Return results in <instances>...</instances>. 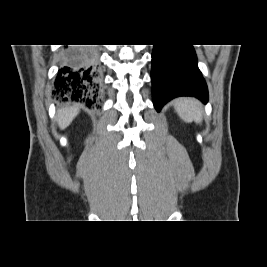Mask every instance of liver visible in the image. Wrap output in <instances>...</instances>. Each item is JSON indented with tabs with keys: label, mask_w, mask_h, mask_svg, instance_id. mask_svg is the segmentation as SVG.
<instances>
[{
	"label": "liver",
	"mask_w": 267,
	"mask_h": 267,
	"mask_svg": "<svg viewBox=\"0 0 267 267\" xmlns=\"http://www.w3.org/2000/svg\"><path fill=\"white\" fill-rule=\"evenodd\" d=\"M79 109L77 107H69L58 110V125L60 129L68 127L73 119L78 115Z\"/></svg>",
	"instance_id": "liver-1"
}]
</instances>
